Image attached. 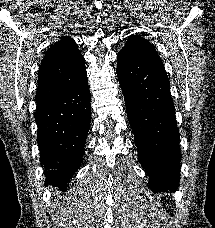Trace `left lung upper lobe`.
Masks as SVG:
<instances>
[{
	"mask_svg": "<svg viewBox=\"0 0 215 228\" xmlns=\"http://www.w3.org/2000/svg\"><path fill=\"white\" fill-rule=\"evenodd\" d=\"M120 52L136 57L158 56L153 44L140 36L134 35L129 37Z\"/></svg>",
	"mask_w": 215,
	"mask_h": 228,
	"instance_id": "left-lung-upper-lobe-1",
	"label": "left lung upper lobe"
}]
</instances>
